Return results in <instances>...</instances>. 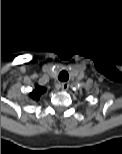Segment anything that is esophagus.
Instances as JSON below:
<instances>
[{
  "label": "esophagus",
  "mask_w": 122,
  "mask_h": 154,
  "mask_svg": "<svg viewBox=\"0 0 122 154\" xmlns=\"http://www.w3.org/2000/svg\"><path fill=\"white\" fill-rule=\"evenodd\" d=\"M68 88H69V83L68 82H63L61 84V89L62 90H68Z\"/></svg>",
  "instance_id": "1"
}]
</instances>
